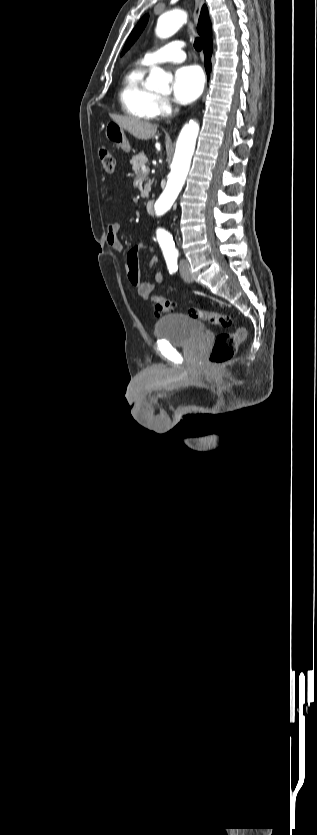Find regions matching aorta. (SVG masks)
<instances>
[{"instance_id": "aorta-1", "label": "aorta", "mask_w": 317, "mask_h": 835, "mask_svg": "<svg viewBox=\"0 0 317 835\" xmlns=\"http://www.w3.org/2000/svg\"><path fill=\"white\" fill-rule=\"evenodd\" d=\"M186 17L185 11L181 9H172L161 13L157 19L156 35L161 39L171 37L186 22ZM171 79V74L160 67H153L146 79L145 86L148 89L165 91L169 88ZM198 133V122L190 121L183 126L178 136L166 187L155 204V215L158 218L170 209L185 183ZM157 238L169 246L173 245L172 237L166 230L160 231Z\"/></svg>"}]
</instances>
